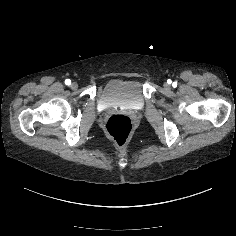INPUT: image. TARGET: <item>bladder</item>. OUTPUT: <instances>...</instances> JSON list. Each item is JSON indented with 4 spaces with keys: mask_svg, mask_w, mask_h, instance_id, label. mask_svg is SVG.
Instances as JSON below:
<instances>
[{
    "mask_svg": "<svg viewBox=\"0 0 236 236\" xmlns=\"http://www.w3.org/2000/svg\"><path fill=\"white\" fill-rule=\"evenodd\" d=\"M101 98L109 107L119 106L136 109L144 104L140 83L125 77H117L107 81L101 91Z\"/></svg>",
    "mask_w": 236,
    "mask_h": 236,
    "instance_id": "bladder-1",
    "label": "bladder"
}]
</instances>
